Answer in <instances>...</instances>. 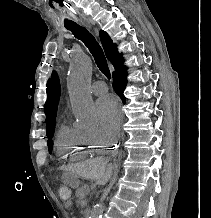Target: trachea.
Wrapping results in <instances>:
<instances>
[{
	"mask_svg": "<svg viewBox=\"0 0 211 218\" xmlns=\"http://www.w3.org/2000/svg\"><path fill=\"white\" fill-rule=\"evenodd\" d=\"M67 30H70L75 38L81 40L84 45L89 49L94 57L97 67L105 75L108 80L111 78L110 70L107 64L106 57L97 40L88 32V30L81 25L67 26Z\"/></svg>",
	"mask_w": 211,
	"mask_h": 218,
	"instance_id": "1",
	"label": "trachea"
}]
</instances>
